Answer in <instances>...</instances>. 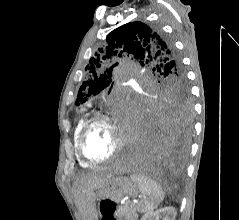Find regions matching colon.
<instances>
[{"label": "colon", "mask_w": 239, "mask_h": 220, "mask_svg": "<svg viewBox=\"0 0 239 220\" xmlns=\"http://www.w3.org/2000/svg\"><path fill=\"white\" fill-rule=\"evenodd\" d=\"M117 204L112 200H103L100 203V213L102 220H116L114 213L116 211Z\"/></svg>", "instance_id": "1"}]
</instances>
